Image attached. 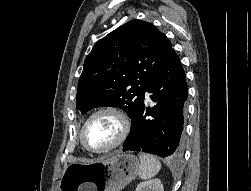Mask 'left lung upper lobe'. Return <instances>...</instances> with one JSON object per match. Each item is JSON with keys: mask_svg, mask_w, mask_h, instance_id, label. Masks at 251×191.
<instances>
[{"mask_svg": "<svg viewBox=\"0 0 251 191\" xmlns=\"http://www.w3.org/2000/svg\"><path fill=\"white\" fill-rule=\"evenodd\" d=\"M172 50L153 24L132 20L99 40L86 57L76 107L82 114L99 106H118L134 122L144 93Z\"/></svg>", "mask_w": 251, "mask_h": 191, "instance_id": "left-lung-upper-lobe-1", "label": "left lung upper lobe"}]
</instances>
